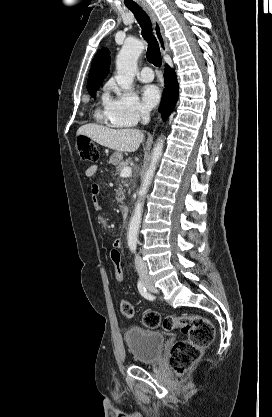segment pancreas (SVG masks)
<instances>
[{
    "label": "pancreas",
    "mask_w": 272,
    "mask_h": 417,
    "mask_svg": "<svg viewBox=\"0 0 272 417\" xmlns=\"http://www.w3.org/2000/svg\"><path fill=\"white\" fill-rule=\"evenodd\" d=\"M128 164H129V159L128 160H126L125 162H121L120 164H118L117 166H116V175H118V174H120L121 173V171H122V169L124 168V167H127L128 166ZM121 183L122 184H120L119 185V187H118V189H117V191H116V200H117V202H119V203H122L123 202V200H124V192H123V188H124V186H128V184L126 183V181H124V180H122L121 181Z\"/></svg>",
    "instance_id": "obj_1"
}]
</instances>
